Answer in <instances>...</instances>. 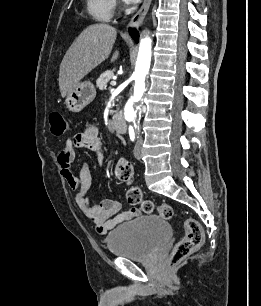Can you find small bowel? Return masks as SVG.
Masks as SVG:
<instances>
[{
    "instance_id": "small-bowel-1",
    "label": "small bowel",
    "mask_w": 261,
    "mask_h": 306,
    "mask_svg": "<svg viewBox=\"0 0 261 306\" xmlns=\"http://www.w3.org/2000/svg\"><path fill=\"white\" fill-rule=\"evenodd\" d=\"M75 148H84L96 153L99 163L103 162L104 151L99 129L89 125L82 132L68 138L65 147L57 156V162L62 177L68 186L76 191L75 202L84 215L94 224L99 234H106L118 224L132 219L137 215L136 209L121 211V204L115 200L102 199L97 204H91L86 197L92 182L88 163H84L77 175L72 171L75 158Z\"/></svg>"
}]
</instances>
